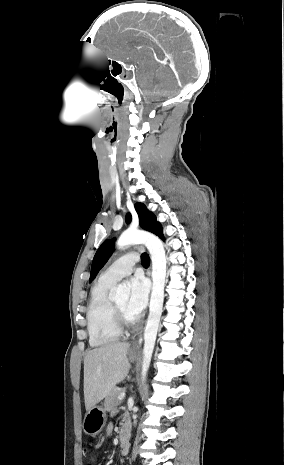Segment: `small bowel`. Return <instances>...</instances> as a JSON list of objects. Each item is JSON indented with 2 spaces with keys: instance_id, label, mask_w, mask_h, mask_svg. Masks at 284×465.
<instances>
[{
  "instance_id": "obj_1",
  "label": "small bowel",
  "mask_w": 284,
  "mask_h": 465,
  "mask_svg": "<svg viewBox=\"0 0 284 465\" xmlns=\"http://www.w3.org/2000/svg\"><path fill=\"white\" fill-rule=\"evenodd\" d=\"M122 429H125L127 430L128 432H130V426L128 423H125L122 427ZM108 431H110V427L108 429ZM127 447H128V444H127V441L122 443V448H123V454H126L127 453Z\"/></svg>"
}]
</instances>
